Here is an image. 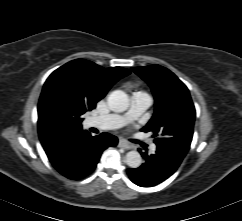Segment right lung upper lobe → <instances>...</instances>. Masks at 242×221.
I'll return each mask as SVG.
<instances>
[{
    "instance_id": "1",
    "label": "right lung upper lobe",
    "mask_w": 242,
    "mask_h": 221,
    "mask_svg": "<svg viewBox=\"0 0 242 221\" xmlns=\"http://www.w3.org/2000/svg\"><path fill=\"white\" fill-rule=\"evenodd\" d=\"M130 74L121 67L103 68L84 59L72 60L55 70L46 80L38 104V132L43 147L65 135L82 130L67 131L58 124L59 102H65L81 113L95 108L111 86Z\"/></svg>"
}]
</instances>
